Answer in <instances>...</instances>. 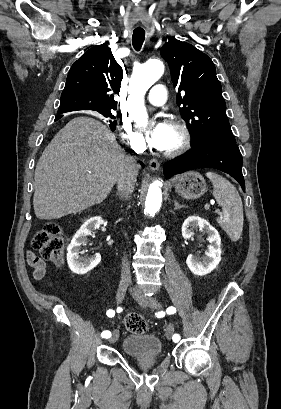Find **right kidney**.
Segmentation results:
<instances>
[{"mask_svg":"<svg viewBox=\"0 0 281 409\" xmlns=\"http://www.w3.org/2000/svg\"><path fill=\"white\" fill-rule=\"evenodd\" d=\"M99 225H104L101 217H90L83 225H81L79 231L75 233L70 245L67 249L71 255V271L76 275H86L89 271H92L98 263L101 261V255L95 253L91 257H80L81 245H86L88 241V235H91Z\"/></svg>","mask_w":281,"mask_h":409,"instance_id":"obj_1","label":"right kidney"}]
</instances>
